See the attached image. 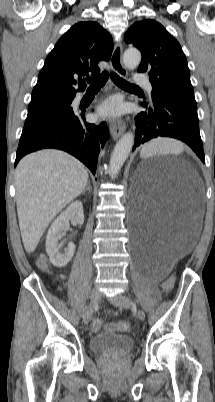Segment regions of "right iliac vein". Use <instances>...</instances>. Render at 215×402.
Returning a JSON list of instances; mask_svg holds the SVG:
<instances>
[{
	"instance_id": "1",
	"label": "right iliac vein",
	"mask_w": 215,
	"mask_h": 402,
	"mask_svg": "<svg viewBox=\"0 0 215 402\" xmlns=\"http://www.w3.org/2000/svg\"><path fill=\"white\" fill-rule=\"evenodd\" d=\"M100 299V292L97 289H93L90 293V306L83 314V323L88 324L91 318L93 307Z\"/></svg>"
}]
</instances>
